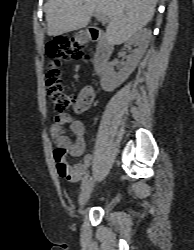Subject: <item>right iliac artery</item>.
I'll return each mask as SVG.
<instances>
[{"instance_id":"right-iliac-artery-1","label":"right iliac artery","mask_w":194,"mask_h":250,"mask_svg":"<svg viewBox=\"0 0 194 250\" xmlns=\"http://www.w3.org/2000/svg\"><path fill=\"white\" fill-rule=\"evenodd\" d=\"M89 177H90V172H88V173L84 176V178H83V180H82V183H81V189L84 188V186H85L86 183L88 182Z\"/></svg>"}]
</instances>
